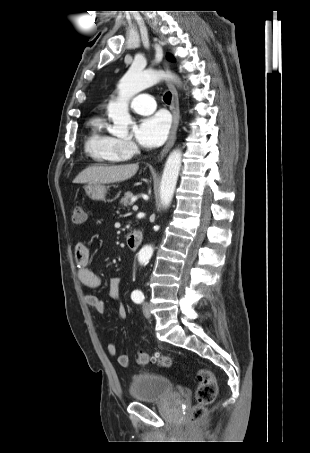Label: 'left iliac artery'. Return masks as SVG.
Masks as SVG:
<instances>
[{
	"mask_svg": "<svg viewBox=\"0 0 310 453\" xmlns=\"http://www.w3.org/2000/svg\"><path fill=\"white\" fill-rule=\"evenodd\" d=\"M131 298L135 303H142L145 297L140 290H135L132 292Z\"/></svg>",
	"mask_w": 310,
	"mask_h": 453,
	"instance_id": "1",
	"label": "left iliac artery"
}]
</instances>
